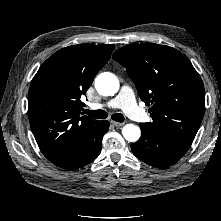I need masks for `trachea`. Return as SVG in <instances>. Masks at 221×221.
<instances>
[{
    "mask_svg": "<svg viewBox=\"0 0 221 221\" xmlns=\"http://www.w3.org/2000/svg\"><path fill=\"white\" fill-rule=\"evenodd\" d=\"M84 113L89 115L92 118H95V119H105V118H107V113L104 110L91 111V110L84 109ZM111 118L114 121H117V122H123L124 121V116L121 113H115L111 116Z\"/></svg>",
    "mask_w": 221,
    "mask_h": 221,
    "instance_id": "trachea-1",
    "label": "trachea"
}]
</instances>
